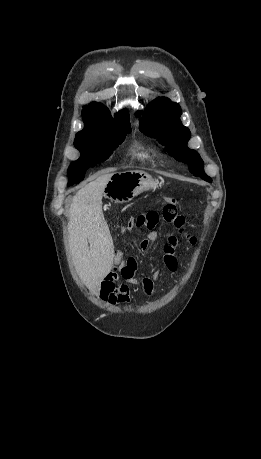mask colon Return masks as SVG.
Returning <instances> with one entry per match:
<instances>
[{
    "mask_svg": "<svg viewBox=\"0 0 261 459\" xmlns=\"http://www.w3.org/2000/svg\"><path fill=\"white\" fill-rule=\"evenodd\" d=\"M164 208H163V218L164 220L173 225L175 228H181L184 225V217L178 214L177 212V200L171 196H164ZM159 224V214L156 211H148L139 215L134 221V226L144 227L148 230L155 229ZM173 234L172 232L170 233ZM117 253L115 254V259L117 261H125L128 258V255L124 251L122 246L117 248Z\"/></svg>",
    "mask_w": 261,
    "mask_h": 459,
    "instance_id": "1",
    "label": "colon"
}]
</instances>
